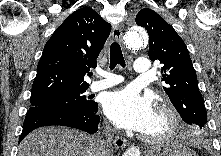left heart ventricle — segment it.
I'll return each mask as SVG.
<instances>
[{"mask_svg": "<svg viewBox=\"0 0 221 156\" xmlns=\"http://www.w3.org/2000/svg\"><path fill=\"white\" fill-rule=\"evenodd\" d=\"M163 127H164V120L156 112L151 125L148 127V129L145 131V133H156V132L161 131L163 129Z\"/></svg>", "mask_w": 221, "mask_h": 156, "instance_id": "1", "label": "left heart ventricle"}]
</instances>
